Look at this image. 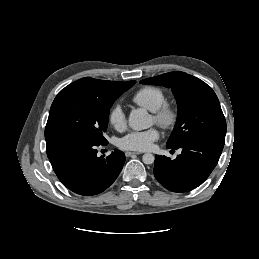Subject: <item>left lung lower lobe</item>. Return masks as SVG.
<instances>
[{
  "label": "left lung lower lobe",
  "mask_w": 259,
  "mask_h": 259,
  "mask_svg": "<svg viewBox=\"0 0 259 259\" xmlns=\"http://www.w3.org/2000/svg\"><path fill=\"white\" fill-rule=\"evenodd\" d=\"M223 147L224 138L215 136H201L189 140L179 147L182 153L174 160L156 155L154 175L170 191L187 192L195 189L213 171Z\"/></svg>",
  "instance_id": "0a47b994"
}]
</instances>
